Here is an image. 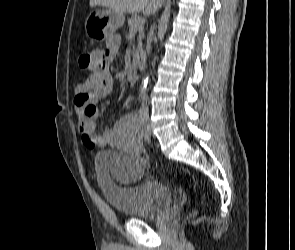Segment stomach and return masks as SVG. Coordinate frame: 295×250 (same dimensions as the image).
<instances>
[{
	"mask_svg": "<svg viewBox=\"0 0 295 250\" xmlns=\"http://www.w3.org/2000/svg\"><path fill=\"white\" fill-rule=\"evenodd\" d=\"M124 22V13L109 8L95 10L87 18L85 30L92 40H107V37L123 26Z\"/></svg>",
	"mask_w": 295,
	"mask_h": 250,
	"instance_id": "stomach-1",
	"label": "stomach"
}]
</instances>
